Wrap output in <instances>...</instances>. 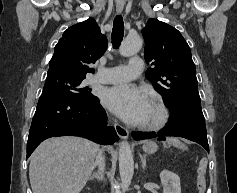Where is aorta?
<instances>
[{
  "label": "aorta",
  "mask_w": 237,
  "mask_h": 193,
  "mask_svg": "<svg viewBox=\"0 0 237 193\" xmlns=\"http://www.w3.org/2000/svg\"><path fill=\"white\" fill-rule=\"evenodd\" d=\"M143 41L138 35H128L120 47L122 56H131L142 48ZM119 172L124 187L131 183L134 174V160L130 145L123 141L119 147Z\"/></svg>",
  "instance_id": "obj_1"
}]
</instances>
